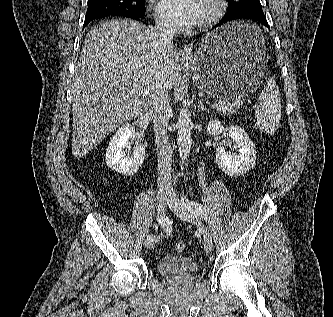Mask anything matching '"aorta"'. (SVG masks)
<instances>
[{"label": "aorta", "instance_id": "762f6f07", "mask_svg": "<svg viewBox=\"0 0 333 317\" xmlns=\"http://www.w3.org/2000/svg\"><path fill=\"white\" fill-rule=\"evenodd\" d=\"M192 126L189 110H182L178 119V151L182 163L187 161L190 154Z\"/></svg>", "mask_w": 333, "mask_h": 317}]
</instances>
